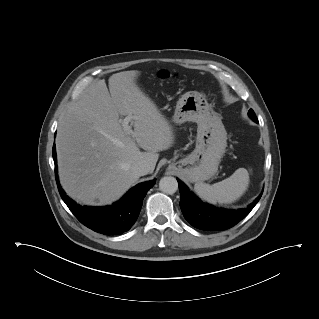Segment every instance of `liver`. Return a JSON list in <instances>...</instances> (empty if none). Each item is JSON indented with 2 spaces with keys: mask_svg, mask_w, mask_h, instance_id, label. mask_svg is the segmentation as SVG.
<instances>
[{
  "mask_svg": "<svg viewBox=\"0 0 319 319\" xmlns=\"http://www.w3.org/2000/svg\"><path fill=\"white\" fill-rule=\"evenodd\" d=\"M139 71H123L92 84L58 124L56 150L60 183L86 205L118 200L138 179L132 166L145 161L155 169L158 152L174 142L172 126L138 87ZM121 116H132L133 133ZM139 147L145 150L141 152Z\"/></svg>",
  "mask_w": 319,
  "mask_h": 319,
  "instance_id": "1",
  "label": "liver"
}]
</instances>
